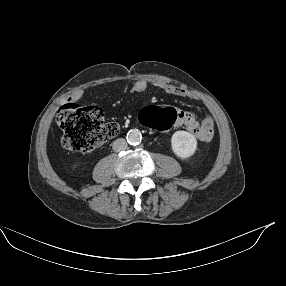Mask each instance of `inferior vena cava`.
I'll return each instance as SVG.
<instances>
[{
	"label": "inferior vena cava",
	"instance_id": "obj_1",
	"mask_svg": "<svg viewBox=\"0 0 286 286\" xmlns=\"http://www.w3.org/2000/svg\"><path fill=\"white\" fill-rule=\"evenodd\" d=\"M112 147L114 151L119 152L127 148V142L123 138H118L113 142Z\"/></svg>",
	"mask_w": 286,
	"mask_h": 286
}]
</instances>
